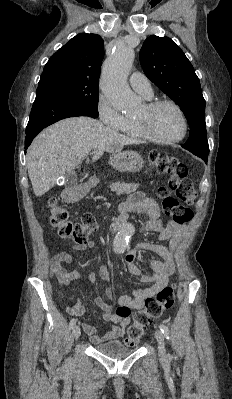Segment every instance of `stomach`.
I'll use <instances>...</instances> for the list:
<instances>
[{
    "label": "stomach",
    "instance_id": "obj_1",
    "mask_svg": "<svg viewBox=\"0 0 232 399\" xmlns=\"http://www.w3.org/2000/svg\"><path fill=\"white\" fill-rule=\"evenodd\" d=\"M109 164L118 170V172H140L144 168V160L137 152H116L109 160ZM92 184L86 186V190H90L93 182H97V178H92ZM79 198H82L79 194Z\"/></svg>",
    "mask_w": 232,
    "mask_h": 399
}]
</instances>
